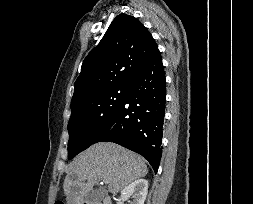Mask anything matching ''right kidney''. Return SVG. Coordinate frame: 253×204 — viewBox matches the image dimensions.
I'll return each instance as SVG.
<instances>
[{
  "label": "right kidney",
  "mask_w": 253,
  "mask_h": 204,
  "mask_svg": "<svg viewBox=\"0 0 253 204\" xmlns=\"http://www.w3.org/2000/svg\"><path fill=\"white\" fill-rule=\"evenodd\" d=\"M147 193L148 181L137 179L121 191V200H128L132 196L133 201L131 204H144Z\"/></svg>",
  "instance_id": "1"
}]
</instances>
